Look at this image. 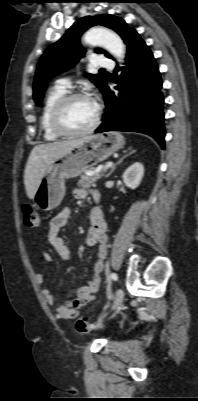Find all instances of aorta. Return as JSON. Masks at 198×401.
Listing matches in <instances>:
<instances>
[{
	"instance_id": "762f6f07",
	"label": "aorta",
	"mask_w": 198,
	"mask_h": 401,
	"mask_svg": "<svg viewBox=\"0 0 198 401\" xmlns=\"http://www.w3.org/2000/svg\"><path fill=\"white\" fill-rule=\"evenodd\" d=\"M84 42L89 45H101L113 56L123 59L125 45L122 39L114 32L103 28H91L84 36Z\"/></svg>"
}]
</instances>
